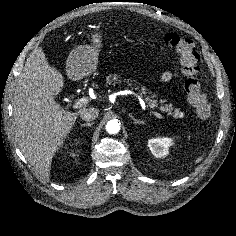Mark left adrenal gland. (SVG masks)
<instances>
[{
	"label": "left adrenal gland",
	"instance_id": "a2214340",
	"mask_svg": "<svg viewBox=\"0 0 236 236\" xmlns=\"http://www.w3.org/2000/svg\"><path fill=\"white\" fill-rule=\"evenodd\" d=\"M129 117L133 120L134 124H144V121L136 119L132 114L129 113Z\"/></svg>",
	"mask_w": 236,
	"mask_h": 236
}]
</instances>
